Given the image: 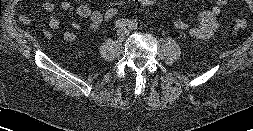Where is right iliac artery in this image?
I'll return each instance as SVG.
<instances>
[{"instance_id":"82829eb1","label":"right iliac artery","mask_w":253,"mask_h":131,"mask_svg":"<svg viewBox=\"0 0 253 131\" xmlns=\"http://www.w3.org/2000/svg\"><path fill=\"white\" fill-rule=\"evenodd\" d=\"M129 22L130 21H128L126 19H120L114 23V26H115V28H124L129 24Z\"/></svg>"}]
</instances>
